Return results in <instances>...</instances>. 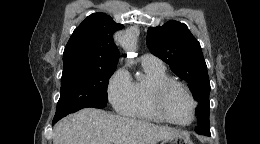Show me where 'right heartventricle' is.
Listing matches in <instances>:
<instances>
[{"mask_svg":"<svg viewBox=\"0 0 260 144\" xmlns=\"http://www.w3.org/2000/svg\"><path fill=\"white\" fill-rule=\"evenodd\" d=\"M145 78L132 83V100L126 112L131 118L160 122L162 121L150 105V94L154 85L171 80L165 69L142 64Z\"/></svg>","mask_w":260,"mask_h":144,"instance_id":"right-heart-ventricle-1","label":"right heart ventricle"}]
</instances>
